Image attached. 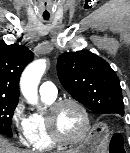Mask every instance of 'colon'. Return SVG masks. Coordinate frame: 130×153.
Returning a JSON list of instances; mask_svg holds the SVG:
<instances>
[{"mask_svg": "<svg viewBox=\"0 0 130 153\" xmlns=\"http://www.w3.org/2000/svg\"><path fill=\"white\" fill-rule=\"evenodd\" d=\"M110 149H111V153H123L124 152L123 140L118 134H114L112 136Z\"/></svg>", "mask_w": 130, "mask_h": 153, "instance_id": "1", "label": "colon"}]
</instances>
